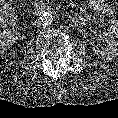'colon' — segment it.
Segmentation results:
<instances>
[{"mask_svg": "<svg viewBox=\"0 0 118 118\" xmlns=\"http://www.w3.org/2000/svg\"><path fill=\"white\" fill-rule=\"evenodd\" d=\"M17 20V13L11 9L0 8V27L13 25Z\"/></svg>", "mask_w": 118, "mask_h": 118, "instance_id": "colon-1", "label": "colon"}]
</instances>
